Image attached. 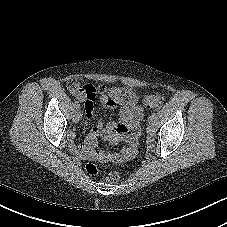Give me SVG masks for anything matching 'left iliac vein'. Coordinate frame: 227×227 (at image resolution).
<instances>
[{
	"label": "left iliac vein",
	"instance_id": "1",
	"mask_svg": "<svg viewBox=\"0 0 227 227\" xmlns=\"http://www.w3.org/2000/svg\"><path fill=\"white\" fill-rule=\"evenodd\" d=\"M147 133L149 135H154L155 134V124H154V119L153 120H148L147 122Z\"/></svg>",
	"mask_w": 227,
	"mask_h": 227
}]
</instances>
